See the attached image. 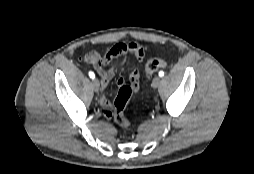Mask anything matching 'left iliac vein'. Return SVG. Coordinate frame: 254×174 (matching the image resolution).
<instances>
[{"instance_id":"4c4485c4","label":"left iliac vein","mask_w":254,"mask_h":174,"mask_svg":"<svg viewBox=\"0 0 254 174\" xmlns=\"http://www.w3.org/2000/svg\"><path fill=\"white\" fill-rule=\"evenodd\" d=\"M161 84V78L160 77H155L152 81V86L154 88H157Z\"/></svg>"}]
</instances>
